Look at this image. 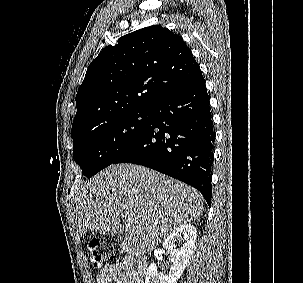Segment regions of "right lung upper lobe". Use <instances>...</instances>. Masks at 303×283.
Listing matches in <instances>:
<instances>
[{
    "label": "right lung upper lobe",
    "instance_id": "1",
    "mask_svg": "<svg viewBox=\"0 0 303 283\" xmlns=\"http://www.w3.org/2000/svg\"><path fill=\"white\" fill-rule=\"evenodd\" d=\"M202 78L181 36L160 25L139 29L104 48L76 95L72 133L161 101Z\"/></svg>",
    "mask_w": 303,
    "mask_h": 283
}]
</instances>
